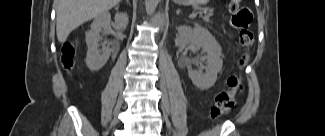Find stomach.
Segmentation results:
<instances>
[{
	"mask_svg": "<svg viewBox=\"0 0 325 136\" xmlns=\"http://www.w3.org/2000/svg\"><path fill=\"white\" fill-rule=\"evenodd\" d=\"M177 4L180 5H203L208 2V0H175Z\"/></svg>",
	"mask_w": 325,
	"mask_h": 136,
	"instance_id": "obj_1",
	"label": "stomach"
}]
</instances>
